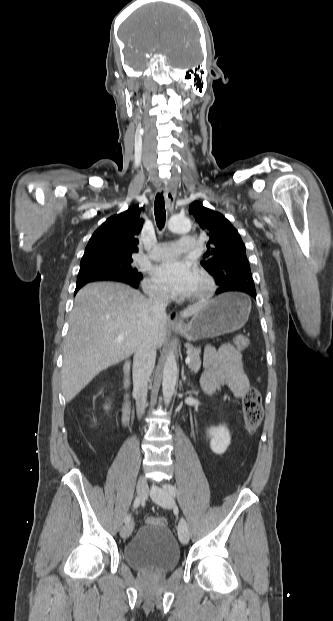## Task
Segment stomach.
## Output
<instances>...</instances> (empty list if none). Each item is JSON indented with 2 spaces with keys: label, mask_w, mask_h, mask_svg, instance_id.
<instances>
[{
  "label": "stomach",
  "mask_w": 333,
  "mask_h": 621,
  "mask_svg": "<svg viewBox=\"0 0 333 621\" xmlns=\"http://www.w3.org/2000/svg\"><path fill=\"white\" fill-rule=\"evenodd\" d=\"M251 304L241 293H225L205 303L193 315L188 341L214 338L240 329L247 322Z\"/></svg>",
  "instance_id": "1"
}]
</instances>
